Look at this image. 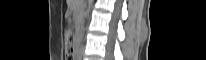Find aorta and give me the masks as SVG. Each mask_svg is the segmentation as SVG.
<instances>
[{"label": "aorta", "instance_id": "obj_1", "mask_svg": "<svg viewBox=\"0 0 206 60\" xmlns=\"http://www.w3.org/2000/svg\"><path fill=\"white\" fill-rule=\"evenodd\" d=\"M90 2H92V0H91ZM86 16H87V17L89 16V10H87ZM81 36H82V37L84 36V29H82V31H81Z\"/></svg>", "mask_w": 206, "mask_h": 60}]
</instances>
